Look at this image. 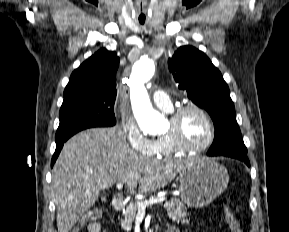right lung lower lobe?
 <instances>
[{
	"mask_svg": "<svg viewBox=\"0 0 289 232\" xmlns=\"http://www.w3.org/2000/svg\"><path fill=\"white\" fill-rule=\"evenodd\" d=\"M63 144H64V142L60 143V144H56V150H55V153L52 157L51 166H53V164L55 163V161H56V159H57V157H58V155H59V153L63 147Z\"/></svg>",
	"mask_w": 289,
	"mask_h": 232,
	"instance_id": "obj_1",
	"label": "right lung lower lobe"
}]
</instances>
